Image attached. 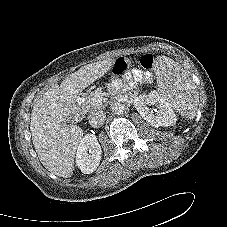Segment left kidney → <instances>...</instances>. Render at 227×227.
I'll list each match as a JSON object with an SVG mask.
<instances>
[{"instance_id":"obj_1","label":"left kidney","mask_w":227,"mask_h":227,"mask_svg":"<svg viewBox=\"0 0 227 227\" xmlns=\"http://www.w3.org/2000/svg\"><path fill=\"white\" fill-rule=\"evenodd\" d=\"M151 105L155 108H150ZM134 107L154 127H167L176 123L177 118L170 104L156 91L137 96Z\"/></svg>"}]
</instances>
